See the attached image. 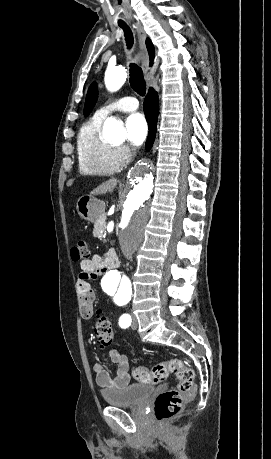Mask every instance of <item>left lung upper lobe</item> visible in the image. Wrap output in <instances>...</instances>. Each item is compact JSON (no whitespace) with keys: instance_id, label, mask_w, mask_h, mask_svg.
I'll use <instances>...</instances> for the list:
<instances>
[{"instance_id":"1","label":"left lung upper lobe","mask_w":271,"mask_h":459,"mask_svg":"<svg viewBox=\"0 0 271 459\" xmlns=\"http://www.w3.org/2000/svg\"><path fill=\"white\" fill-rule=\"evenodd\" d=\"M97 96H98L97 85L96 83H92L91 86L89 87V90L86 96V101H85V106H84V115H87L92 110V108L95 106L96 101H97Z\"/></svg>"}]
</instances>
